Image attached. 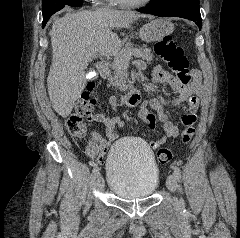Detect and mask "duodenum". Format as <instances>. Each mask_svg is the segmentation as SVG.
<instances>
[{
  "label": "duodenum",
  "mask_w": 240,
  "mask_h": 238,
  "mask_svg": "<svg viewBox=\"0 0 240 238\" xmlns=\"http://www.w3.org/2000/svg\"><path fill=\"white\" fill-rule=\"evenodd\" d=\"M96 68L98 72L101 74V76L108 77L109 69L105 61H98L96 63ZM140 99H141L140 92L136 89L120 94L121 102L129 106L137 105L140 102Z\"/></svg>",
  "instance_id": "410a0bca"
}]
</instances>
